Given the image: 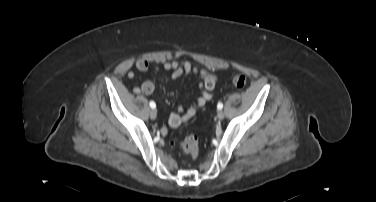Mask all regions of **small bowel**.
Segmentation results:
<instances>
[{"mask_svg": "<svg viewBox=\"0 0 376 202\" xmlns=\"http://www.w3.org/2000/svg\"><path fill=\"white\" fill-rule=\"evenodd\" d=\"M136 68L140 72H146L150 68L155 71L160 70L163 68L164 70L171 71V80L175 81L181 77H185L188 74H195L199 79L198 87L200 89V93L198 98L194 103L191 105L184 107H178L177 111L172 113L169 116L168 123L171 127H178L181 124L189 121L192 117L196 115L198 110L202 108L207 102L212 100L214 89L217 83V78L212 73L207 71L204 68L193 67L190 62L188 61H168L164 64L160 65H153L151 66L150 63L145 59H140L136 62ZM135 73L133 71H128L127 77L129 79H133ZM135 94H146L151 95L155 92V86L151 81H146L143 83L141 87H135L133 89Z\"/></svg>", "mask_w": 376, "mask_h": 202, "instance_id": "obj_1", "label": "small bowel"}]
</instances>
